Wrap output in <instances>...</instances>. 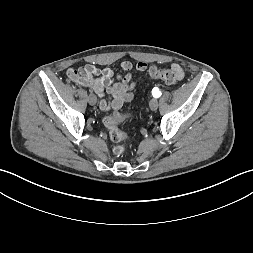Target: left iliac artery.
Masks as SVG:
<instances>
[{
    "label": "left iliac artery",
    "instance_id": "left-iliac-artery-1",
    "mask_svg": "<svg viewBox=\"0 0 253 253\" xmlns=\"http://www.w3.org/2000/svg\"><path fill=\"white\" fill-rule=\"evenodd\" d=\"M152 95L155 97V98H158L161 96V92L159 91V89L157 87L153 88L152 90Z\"/></svg>",
    "mask_w": 253,
    "mask_h": 253
}]
</instances>
